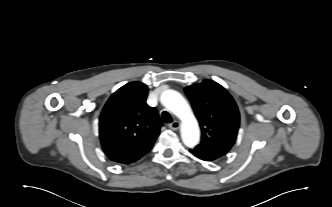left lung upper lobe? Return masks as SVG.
Masks as SVG:
<instances>
[{
	"label": "left lung upper lobe",
	"mask_w": 332,
	"mask_h": 207,
	"mask_svg": "<svg viewBox=\"0 0 332 207\" xmlns=\"http://www.w3.org/2000/svg\"><path fill=\"white\" fill-rule=\"evenodd\" d=\"M185 93L202 132L201 142L195 148L220 156L226 154L235 142L240 123L234 99L224 87L212 80L188 86Z\"/></svg>",
	"instance_id": "obj_1"
}]
</instances>
